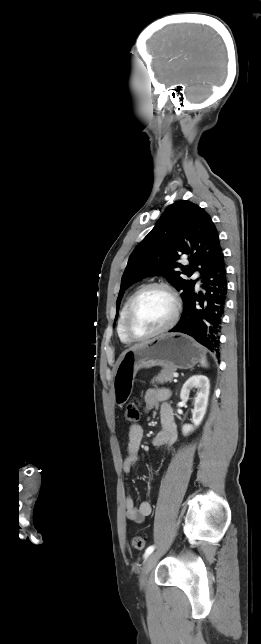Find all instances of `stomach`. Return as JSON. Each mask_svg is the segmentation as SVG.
<instances>
[{
  "label": "stomach",
  "mask_w": 261,
  "mask_h": 644,
  "mask_svg": "<svg viewBox=\"0 0 261 644\" xmlns=\"http://www.w3.org/2000/svg\"><path fill=\"white\" fill-rule=\"evenodd\" d=\"M204 356L205 352L198 343L179 333L162 334L139 348L127 351L119 360L113 378L115 404L122 406L128 401L140 369L163 366L186 370L193 368Z\"/></svg>",
  "instance_id": "obj_1"
}]
</instances>
